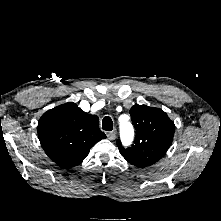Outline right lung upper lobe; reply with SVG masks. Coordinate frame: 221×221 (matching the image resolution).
I'll return each mask as SVG.
<instances>
[{
	"label": "right lung upper lobe",
	"mask_w": 221,
	"mask_h": 221,
	"mask_svg": "<svg viewBox=\"0 0 221 221\" xmlns=\"http://www.w3.org/2000/svg\"><path fill=\"white\" fill-rule=\"evenodd\" d=\"M38 137L49 158L68 169L80 164L106 135L96 115L69 102L44 113L38 122Z\"/></svg>",
	"instance_id": "obj_1"
}]
</instances>
